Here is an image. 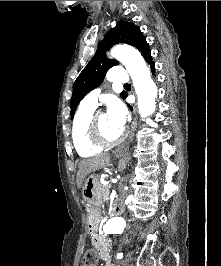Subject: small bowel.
<instances>
[{
	"instance_id": "c3829d8e",
	"label": "small bowel",
	"mask_w": 221,
	"mask_h": 266,
	"mask_svg": "<svg viewBox=\"0 0 221 266\" xmlns=\"http://www.w3.org/2000/svg\"><path fill=\"white\" fill-rule=\"evenodd\" d=\"M91 241L104 265L115 266L111 262L112 246L107 240V236L103 233H93Z\"/></svg>"
}]
</instances>
